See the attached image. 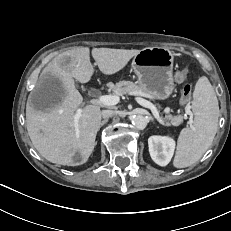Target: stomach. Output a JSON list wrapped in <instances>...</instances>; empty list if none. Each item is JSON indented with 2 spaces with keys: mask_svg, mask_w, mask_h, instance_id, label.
<instances>
[{
  "mask_svg": "<svg viewBox=\"0 0 231 231\" xmlns=\"http://www.w3.org/2000/svg\"><path fill=\"white\" fill-rule=\"evenodd\" d=\"M173 61L174 54L167 48L142 49L132 61L137 84L156 99L169 98L174 91Z\"/></svg>",
  "mask_w": 231,
  "mask_h": 231,
  "instance_id": "1",
  "label": "stomach"
}]
</instances>
